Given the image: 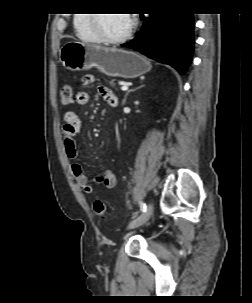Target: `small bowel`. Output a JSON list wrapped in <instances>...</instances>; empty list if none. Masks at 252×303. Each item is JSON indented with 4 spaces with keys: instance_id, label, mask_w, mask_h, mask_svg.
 <instances>
[{
    "instance_id": "small-bowel-1",
    "label": "small bowel",
    "mask_w": 252,
    "mask_h": 303,
    "mask_svg": "<svg viewBox=\"0 0 252 303\" xmlns=\"http://www.w3.org/2000/svg\"><path fill=\"white\" fill-rule=\"evenodd\" d=\"M95 82V76L93 74H85L81 78V84L87 87ZM98 93L110 106H116L117 98L106 86L99 85L97 87ZM89 101V94L87 91L82 90L76 94L75 103L77 105H86ZM83 130V125L78 115L73 110H67L64 114L63 124V147L68 157L76 159L77 157V142L76 137ZM71 171L75 177L78 185L83 189L85 193H92L94 184L89 180L88 176L84 173L82 167L77 162H73L71 165ZM98 181L106 188L112 189L116 186L117 177L112 171H106L98 177Z\"/></svg>"
}]
</instances>
